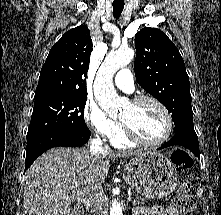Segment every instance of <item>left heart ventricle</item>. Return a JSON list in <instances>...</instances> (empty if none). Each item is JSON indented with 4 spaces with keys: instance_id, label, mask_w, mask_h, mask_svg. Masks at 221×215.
Instances as JSON below:
<instances>
[{
    "instance_id": "left-heart-ventricle-1",
    "label": "left heart ventricle",
    "mask_w": 221,
    "mask_h": 215,
    "mask_svg": "<svg viewBox=\"0 0 221 215\" xmlns=\"http://www.w3.org/2000/svg\"><path fill=\"white\" fill-rule=\"evenodd\" d=\"M120 120L127 122L142 139L159 140L166 129L165 117L160 108L150 101L129 103L122 111Z\"/></svg>"
}]
</instances>
